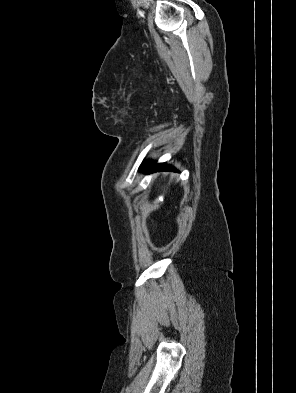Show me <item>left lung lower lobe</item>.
<instances>
[{"mask_svg": "<svg viewBox=\"0 0 296 393\" xmlns=\"http://www.w3.org/2000/svg\"><path fill=\"white\" fill-rule=\"evenodd\" d=\"M143 170H147L148 173L157 171V170H174L173 168L166 166L165 164H145L141 167Z\"/></svg>", "mask_w": 296, "mask_h": 393, "instance_id": "1", "label": "left lung lower lobe"}]
</instances>
